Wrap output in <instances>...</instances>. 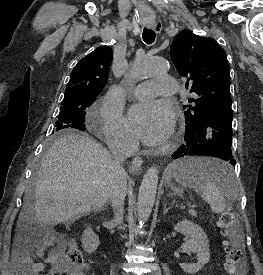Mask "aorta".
<instances>
[{
	"instance_id": "762f6f07",
	"label": "aorta",
	"mask_w": 263,
	"mask_h": 275,
	"mask_svg": "<svg viewBox=\"0 0 263 275\" xmlns=\"http://www.w3.org/2000/svg\"><path fill=\"white\" fill-rule=\"evenodd\" d=\"M168 64L160 58H143L136 60L130 73L129 78L137 82L155 74L166 72ZM158 168L152 166L146 171L138 194L137 216L139 224H144L152 212L155 203L157 186H158Z\"/></svg>"
}]
</instances>
